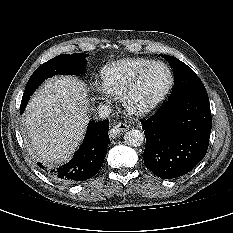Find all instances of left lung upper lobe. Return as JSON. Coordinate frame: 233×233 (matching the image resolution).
Instances as JSON below:
<instances>
[{
	"instance_id": "1",
	"label": "left lung upper lobe",
	"mask_w": 233,
	"mask_h": 233,
	"mask_svg": "<svg viewBox=\"0 0 233 233\" xmlns=\"http://www.w3.org/2000/svg\"><path fill=\"white\" fill-rule=\"evenodd\" d=\"M162 56L174 71V87L169 98L185 94H207L202 81L189 66L173 56Z\"/></svg>"
}]
</instances>
